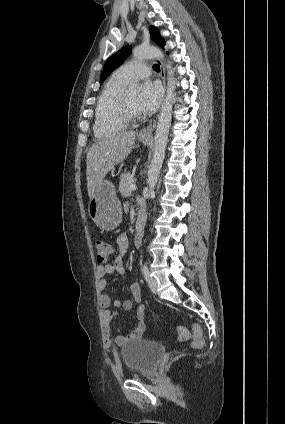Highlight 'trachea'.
I'll return each instance as SVG.
<instances>
[{"instance_id": "3493384b", "label": "trachea", "mask_w": 285, "mask_h": 424, "mask_svg": "<svg viewBox=\"0 0 285 424\" xmlns=\"http://www.w3.org/2000/svg\"><path fill=\"white\" fill-rule=\"evenodd\" d=\"M154 70L159 72L160 71V66L158 64H154L153 66Z\"/></svg>"}]
</instances>
